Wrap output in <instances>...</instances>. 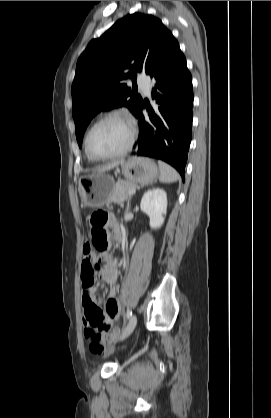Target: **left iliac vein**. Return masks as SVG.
<instances>
[{
	"instance_id": "left-iliac-vein-1",
	"label": "left iliac vein",
	"mask_w": 271,
	"mask_h": 418,
	"mask_svg": "<svg viewBox=\"0 0 271 418\" xmlns=\"http://www.w3.org/2000/svg\"><path fill=\"white\" fill-rule=\"evenodd\" d=\"M137 324V317L135 315H133L129 322L127 323L126 327L124 328L121 336H120V340H124L126 339L134 330L135 326Z\"/></svg>"
}]
</instances>
